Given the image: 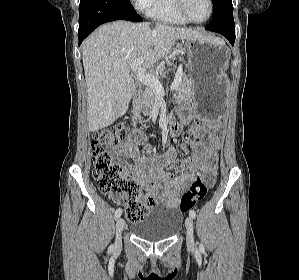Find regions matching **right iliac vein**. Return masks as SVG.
I'll return each mask as SVG.
<instances>
[{"mask_svg":"<svg viewBox=\"0 0 299 280\" xmlns=\"http://www.w3.org/2000/svg\"><path fill=\"white\" fill-rule=\"evenodd\" d=\"M125 227V221L122 218H119L116 222V242H115V249H119L121 247V234Z\"/></svg>","mask_w":299,"mask_h":280,"instance_id":"obj_1","label":"right iliac vein"}]
</instances>
